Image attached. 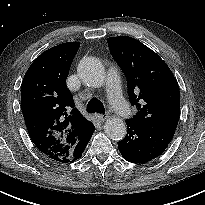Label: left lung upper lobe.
<instances>
[{"label": "left lung upper lobe", "mask_w": 205, "mask_h": 205, "mask_svg": "<svg viewBox=\"0 0 205 205\" xmlns=\"http://www.w3.org/2000/svg\"><path fill=\"white\" fill-rule=\"evenodd\" d=\"M107 43L127 77L130 103L138 110L130 121L175 130L180 116V92L167 64L134 38L110 37Z\"/></svg>", "instance_id": "obj_1"}]
</instances>
